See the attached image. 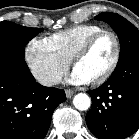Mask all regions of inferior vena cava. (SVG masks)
Returning <instances> with one entry per match:
<instances>
[{
    "instance_id": "inferior-vena-cava-1",
    "label": "inferior vena cava",
    "mask_w": 139,
    "mask_h": 139,
    "mask_svg": "<svg viewBox=\"0 0 139 139\" xmlns=\"http://www.w3.org/2000/svg\"><path fill=\"white\" fill-rule=\"evenodd\" d=\"M37 79L44 86H52L58 83L60 80L57 75H54L52 73L42 74Z\"/></svg>"
}]
</instances>
